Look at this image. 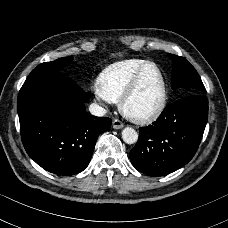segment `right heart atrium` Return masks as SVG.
<instances>
[{
  "mask_svg": "<svg viewBox=\"0 0 228 228\" xmlns=\"http://www.w3.org/2000/svg\"><path fill=\"white\" fill-rule=\"evenodd\" d=\"M96 98L99 101L108 102V100H106L98 91H96Z\"/></svg>",
  "mask_w": 228,
  "mask_h": 228,
  "instance_id": "obj_1",
  "label": "right heart atrium"
}]
</instances>
